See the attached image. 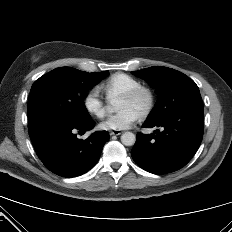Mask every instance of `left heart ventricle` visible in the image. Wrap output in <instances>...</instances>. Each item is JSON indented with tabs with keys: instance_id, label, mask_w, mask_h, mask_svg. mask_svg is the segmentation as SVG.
<instances>
[{
	"instance_id": "left-heart-ventricle-1",
	"label": "left heart ventricle",
	"mask_w": 232,
	"mask_h": 232,
	"mask_svg": "<svg viewBox=\"0 0 232 232\" xmlns=\"http://www.w3.org/2000/svg\"><path fill=\"white\" fill-rule=\"evenodd\" d=\"M145 104H146V97L145 96H142L135 101H129V100H125V99L120 98V100L118 102L117 109L119 111L124 110V109H132L140 114V112L143 109V107L145 106Z\"/></svg>"
}]
</instances>
